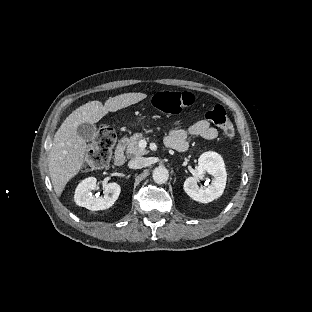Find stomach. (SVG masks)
I'll list each match as a JSON object with an SVG mask.
<instances>
[{
  "mask_svg": "<svg viewBox=\"0 0 312 312\" xmlns=\"http://www.w3.org/2000/svg\"><path fill=\"white\" fill-rule=\"evenodd\" d=\"M145 123H146V121L144 119H141V120L132 121V122L128 123V125H129L130 129H136V128L144 125Z\"/></svg>",
  "mask_w": 312,
  "mask_h": 312,
  "instance_id": "stomach-1",
  "label": "stomach"
}]
</instances>
